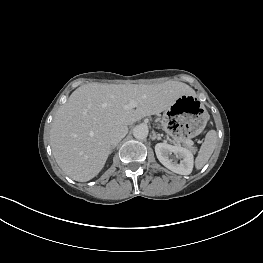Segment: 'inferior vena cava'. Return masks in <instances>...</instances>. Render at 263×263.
Here are the masks:
<instances>
[{
  "label": "inferior vena cava",
  "mask_w": 263,
  "mask_h": 263,
  "mask_svg": "<svg viewBox=\"0 0 263 263\" xmlns=\"http://www.w3.org/2000/svg\"><path fill=\"white\" fill-rule=\"evenodd\" d=\"M128 133L127 126L116 127L109 136L111 146H116Z\"/></svg>",
  "instance_id": "obj_1"
}]
</instances>
